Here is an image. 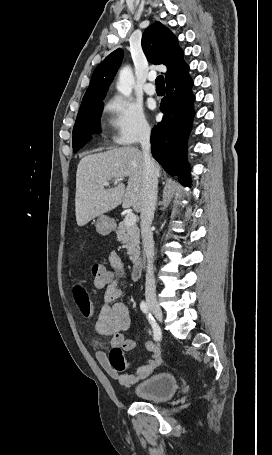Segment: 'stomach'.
<instances>
[{
  "label": "stomach",
  "mask_w": 272,
  "mask_h": 455,
  "mask_svg": "<svg viewBox=\"0 0 272 455\" xmlns=\"http://www.w3.org/2000/svg\"><path fill=\"white\" fill-rule=\"evenodd\" d=\"M113 220L106 215H100L97 219L96 230L101 235H108L113 230Z\"/></svg>",
  "instance_id": "0dacf381"
}]
</instances>
